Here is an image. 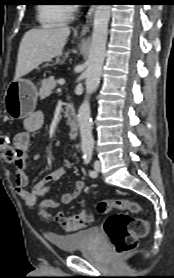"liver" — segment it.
<instances>
[{
	"label": "liver",
	"instance_id": "6515ba94",
	"mask_svg": "<svg viewBox=\"0 0 174 278\" xmlns=\"http://www.w3.org/2000/svg\"><path fill=\"white\" fill-rule=\"evenodd\" d=\"M69 35L68 26L27 31L19 46L14 80L30 73L43 62L61 55Z\"/></svg>",
	"mask_w": 174,
	"mask_h": 278
}]
</instances>
